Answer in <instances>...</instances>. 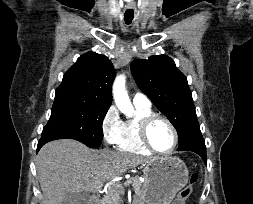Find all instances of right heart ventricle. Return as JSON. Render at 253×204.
I'll use <instances>...</instances> for the list:
<instances>
[{
	"label": "right heart ventricle",
	"instance_id": "obj_1",
	"mask_svg": "<svg viewBox=\"0 0 253 204\" xmlns=\"http://www.w3.org/2000/svg\"><path fill=\"white\" fill-rule=\"evenodd\" d=\"M136 116L123 122L122 131L118 140L120 151L141 156H150L151 152L143 145L139 134L140 121L153 114L151 108L136 106Z\"/></svg>",
	"mask_w": 253,
	"mask_h": 204
}]
</instances>
